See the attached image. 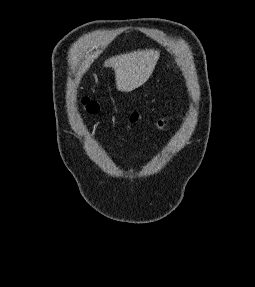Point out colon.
Instances as JSON below:
<instances>
[{
	"label": "colon",
	"mask_w": 255,
	"mask_h": 287,
	"mask_svg": "<svg viewBox=\"0 0 255 287\" xmlns=\"http://www.w3.org/2000/svg\"><path fill=\"white\" fill-rule=\"evenodd\" d=\"M82 104L86 112L89 114H96L99 110V106L96 101L89 99V98H83ZM138 119V113H132L129 120L130 122H135Z\"/></svg>",
	"instance_id": "obj_1"
}]
</instances>
